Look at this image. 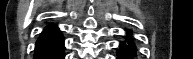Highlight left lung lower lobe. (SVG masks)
Here are the masks:
<instances>
[{
	"mask_svg": "<svg viewBox=\"0 0 193 59\" xmlns=\"http://www.w3.org/2000/svg\"><path fill=\"white\" fill-rule=\"evenodd\" d=\"M131 31L128 32V39L120 44V52L117 59H136V47L131 40Z\"/></svg>",
	"mask_w": 193,
	"mask_h": 59,
	"instance_id": "0a47b994",
	"label": "left lung lower lobe"
}]
</instances>
